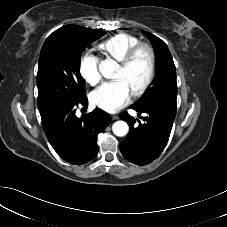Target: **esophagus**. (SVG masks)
Instances as JSON below:
<instances>
[{"instance_id": "esophagus-1", "label": "esophagus", "mask_w": 227, "mask_h": 227, "mask_svg": "<svg viewBox=\"0 0 227 227\" xmlns=\"http://www.w3.org/2000/svg\"><path fill=\"white\" fill-rule=\"evenodd\" d=\"M112 119H113V120H117V119H118V116H117V115H113V116H112Z\"/></svg>"}]
</instances>
